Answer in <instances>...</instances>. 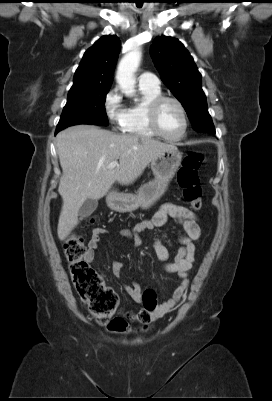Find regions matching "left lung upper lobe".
I'll return each instance as SVG.
<instances>
[{
	"instance_id": "5c2ea615",
	"label": "left lung upper lobe",
	"mask_w": 272,
	"mask_h": 401,
	"mask_svg": "<svg viewBox=\"0 0 272 401\" xmlns=\"http://www.w3.org/2000/svg\"><path fill=\"white\" fill-rule=\"evenodd\" d=\"M151 56L163 83L185 108L194 130L215 133L202 90V76L184 45L173 37H157Z\"/></svg>"
}]
</instances>
